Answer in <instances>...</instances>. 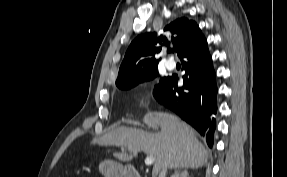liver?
<instances>
[{"mask_svg":"<svg viewBox=\"0 0 287 177\" xmlns=\"http://www.w3.org/2000/svg\"><path fill=\"white\" fill-rule=\"evenodd\" d=\"M143 122L149 128H160V131L153 133L121 126L102 137L94 138L92 144L122 147L121 153L113 155L123 162L131 161L141 151L154 156L153 177L165 165L170 169H197L206 164L207 151L197 139L196 132L177 116L150 112L144 116Z\"/></svg>","mask_w":287,"mask_h":177,"instance_id":"liver-1","label":"liver"}]
</instances>
